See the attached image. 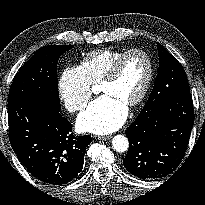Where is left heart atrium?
<instances>
[{
    "mask_svg": "<svg viewBox=\"0 0 205 205\" xmlns=\"http://www.w3.org/2000/svg\"><path fill=\"white\" fill-rule=\"evenodd\" d=\"M127 117V108L118 99L104 94L95 99L78 117V126L83 131L103 135L122 126Z\"/></svg>",
    "mask_w": 205,
    "mask_h": 205,
    "instance_id": "1",
    "label": "left heart atrium"
}]
</instances>
